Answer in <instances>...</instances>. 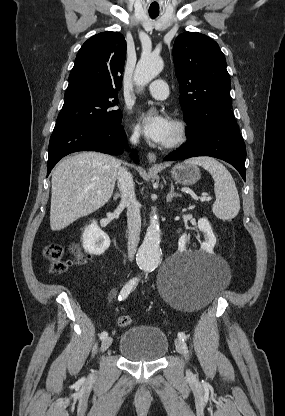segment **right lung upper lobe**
I'll use <instances>...</instances> for the list:
<instances>
[{"mask_svg": "<svg viewBox=\"0 0 285 416\" xmlns=\"http://www.w3.org/2000/svg\"><path fill=\"white\" fill-rule=\"evenodd\" d=\"M126 41L119 32H103L80 48L65 95L117 96L121 89Z\"/></svg>", "mask_w": 285, "mask_h": 416, "instance_id": "cb5924a9", "label": "right lung upper lobe"}]
</instances>
